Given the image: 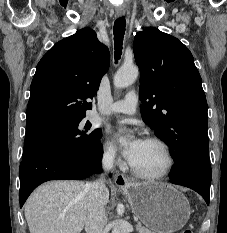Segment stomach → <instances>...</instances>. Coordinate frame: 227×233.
<instances>
[{
    "label": "stomach",
    "mask_w": 227,
    "mask_h": 233,
    "mask_svg": "<svg viewBox=\"0 0 227 233\" xmlns=\"http://www.w3.org/2000/svg\"><path fill=\"white\" fill-rule=\"evenodd\" d=\"M121 190L133 213L153 233H174L189 219V202L172 185L138 182Z\"/></svg>",
    "instance_id": "1"
}]
</instances>
